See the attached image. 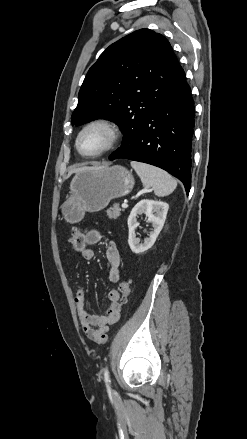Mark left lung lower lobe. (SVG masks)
Returning a JSON list of instances; mask_svg holds the SVG:
<instances>
[{
  "label": "left lung lower lobe",
  "instance_id": "1",
  "mask_svg": "<svg viewBox=\"0 0 247 439\" xmlns=\"http://www.w3.org/2000/svg\"><path fill=\"white\" fill-rule=\"evenodd\" d=\"M194 102L185 74L157 99L156 105L125 146L109 160L125 158L160 167L191 188V140Z\"/></svg>",
  "mask_w": 247,
  "mask_h": 439
}]
</instances>
